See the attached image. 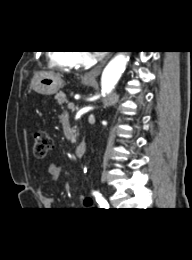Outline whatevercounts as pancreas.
Listing matches in <instances>:
<instances>
[{
	"instance_id": "cf45deb5",
	"label": "pancreas",
	"mask_w": 192,
	"mask_h": 260,
	"mask_svg": "<svg viewBox=\"0 0 192 260\" xmlns=\"http://www.w3.org/2000/svg\"><path fill=\"white\" fill-rule=\"evenodd\" d=\"M55 99H56V101H57V103H58L59 105H63V104H65V103H67L66 96H65V94H64L63 92L57 93V94L55 95ZM75 138H76V135H75V134L72 135V137H71V142H72V143L75 142Z\"/></svg>"
}]
</instances>
